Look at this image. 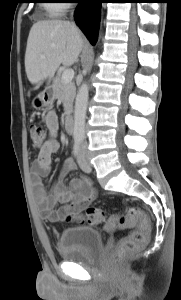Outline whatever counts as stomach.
<instances>
[{"instance_id": "1", "label": "stomach", "mask_w": 181, "mask_h": 300, "mask_svg": "<svg viewBox=\"0 0 181 300\" xmlns=\"http://www.w3.org/2000/svg\"><path fill=\"white\" fill-rule=\"evenodd\" d=\"M54 99H55V94L53 91V87H48L33 99L32 105L36 109H41L51 105Z\"/></svg>"}]
</instances>
